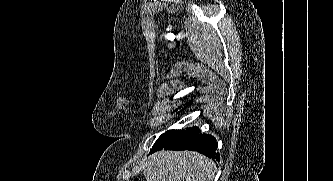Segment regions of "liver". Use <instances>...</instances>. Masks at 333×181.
I'll list each match as a JSON object with an SVG mask.
<instances>
[{
  "label": "liver",
  "instance_id": "6515ba94",
  "mask_svg": "<svg viewBox=\"0 0 333 181\" xmlns=\"http://www.w3.org/2000/svg\"><path fill=\"white\" fill-rule=\"evenodd\" d=\"M217 168L194 151H158L144 164L146 181H213Z\"/></svg>",
  "mask_w": 333,
  "mask_h": 181
}]
</instances>
